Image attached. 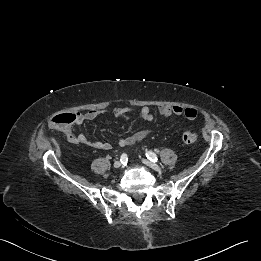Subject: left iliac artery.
<instances>
[{
    "label": "left iliac artery",
    "mask_w": 261,
    "mask_h": 261,
    "mask_svg": "<svg viewBox=\"0 0 261 261\" xmlns=\"http://www.w3.org/2000/svg\"><path fill=\"white\" fill-rule=\"evenodd\" d=\"M146 157L150 161H152V162H157L158 161L157 155L155 153H153L152 151H147L146 152Z\"/></svg>",
    "instance_id": "44dca946"
}]
</instances>
